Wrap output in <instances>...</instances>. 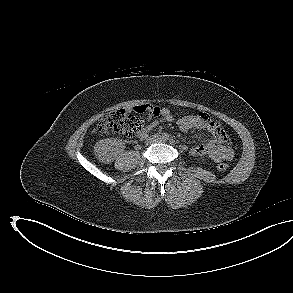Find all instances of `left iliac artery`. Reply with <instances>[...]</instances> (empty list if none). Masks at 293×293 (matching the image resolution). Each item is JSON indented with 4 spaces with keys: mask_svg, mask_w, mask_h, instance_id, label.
<instances>
[{
    "mask_svg": "<svg viewBox=\"0 0 293 293\" xmlns=\"http://www.w3.org/2000/svg\"><path fill=\"white\" fill-rule=\"evenodd\" d=\"M169 142H170L171 144H174V143H175V140L173 139V137H170V138H169Z\"/></svg>",
    "mask_w": 293,
    "mask_h": 293,
    "instance_id": "left-iliac-artery-1",
    "label": "left iliac artery"
}]
</instances>
